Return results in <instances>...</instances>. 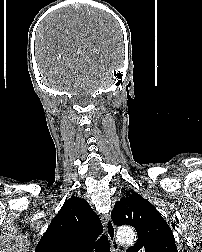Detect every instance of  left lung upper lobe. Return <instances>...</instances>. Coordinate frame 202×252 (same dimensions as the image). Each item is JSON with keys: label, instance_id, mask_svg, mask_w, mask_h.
Wrapping results in <instances>:
<instances>
[{"label": "left lung upper lobe", "instance_id": "5c2ea615", "mask_svg": "<svg viewBox=\"0 0 202 252\" xmlns=\"http://www.w3.org/2000/svg\"><path fill=\"white\" fill-rule=\"evenodd\" d=\"M115 225H131L138 240L127 252H177L173 233L155 207L134 191H126L111 213Z\"/></svg>", "mask_w": 202, "mask_h": 252}]
</instances>
